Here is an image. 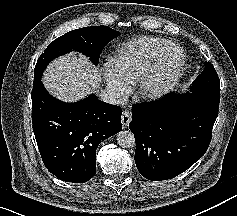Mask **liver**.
<instances>
[{
    "instance_id": "1",
    "label": "liver",
    "mask_w": 237,
    "mask_h": 216,
    "mask_svg": "<svg viewBox=\"0 0 237 216\" xmlns=\"http://www.w3.org/2000/svg\"><path fill=\"white\" fill-rule=\"evenodd\" d=\"M107 70L105 67L101 73L84 55L71 52L49 64L42 82L52 96L64 102H77L99 92Z\"/></svg>"
}]
</instances>
